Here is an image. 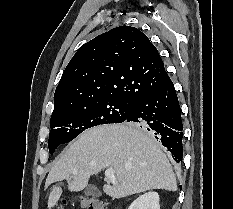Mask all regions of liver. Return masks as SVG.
I'll use <instances>...</instances> for the list:
<instances>
[{
    "label": "liver",
    "instance_id": "1",
    "mask_svg": "<svg viewBox=\"0 0 233 209\" xmlns=\"http://www.w3.org/2000/svg\"><path fill=\"white\" fill-rule=\"evenodd\" d=\"M112 168L117 184H105L104 192L123 198L153 189L177 190L172 167L155 139L133 124H109L83 132L69 145L50 170L45 187L68 182V190L78 192L91 175ZM62 188H51L48 208H53Z\"/></svg>",
    "mask_w": 233,
    "mask_h": 209
}]
</instances>
